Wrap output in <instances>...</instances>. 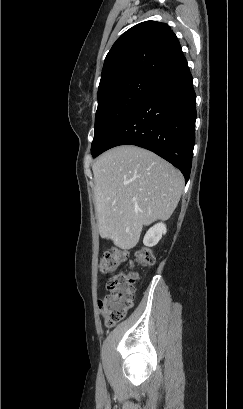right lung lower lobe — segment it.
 I'll return each instance as SVG.
<instances>
[{"label":"right lung lower lobe","instance_id":"98d812e1","mask_svg":"<svg viewBox=\"0 0 243 409\" xmlns=\"http://www.w3.org/2000/svg\"><path fill=\"white\" fill-rule=\"evenodd\" d=\"M195 120L196 94L184 58L157 82L96 156L115 146L136 145L169 161L187 182L195 144Z\"/></svg>","mask_w":243,"mask_h":409}]
</instances>
